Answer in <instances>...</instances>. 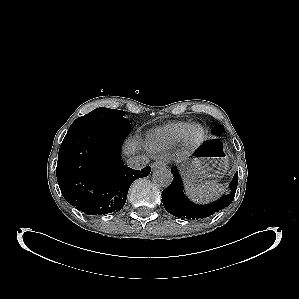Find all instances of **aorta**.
Here are the masks:
<instances>
[{
  "mask_svg": "<svg viewBox=\"0 0 299 299\" xmlns=\"http://www.w3.org/2000/svg\"><path fill=\"white\" fill-rule=\"evenodd\" d=\"M152 178L161 187H168L173 180V175L169 169L162 167L153 173Z\"/></svg>",
  "mask_w": 299,
  "mask_h": 299,
  "instance_id": "762f6f07",
  "label": "aorta"
}]
</instances>
